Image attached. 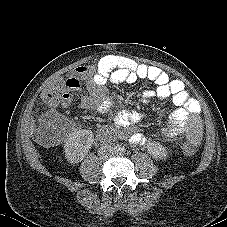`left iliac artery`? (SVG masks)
Masks as SVG:
<instances>
[{
	"label": "left iliac artery",
	"instance_id": "1",
	"mask_svg": "<svg viewBox=\"0 0 227 227\" xmlns=\"http://www.w3.org/2000/svg\"><path fill=\"white\" fill-rule=\"evenodd\" d=\"M118 151L120 153H125L126 149L124 147H119Z\"/></svg>",
	"mask_w": 227,
	"mask_h": 227
}]
</instances>
